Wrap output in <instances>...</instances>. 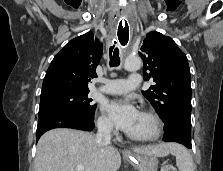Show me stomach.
Segmentation results:
<instances>
[{
	"label": "stomach",
	"instance_id": "obj_1",
	"mask_svg": "<svg viewBox=\"0 0 223 171\" xmlns=\"http://www.w3.org/2000/svg\"><path fill=\"white\" fill-rule=\"evenodd\" d=\"M131 161L138 171H157L158 168V160L154 155L136 153Z\"/></svg>",
	"mask_w": 223,
	"mask_h": 171
}]
</instances>
